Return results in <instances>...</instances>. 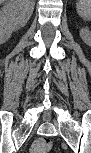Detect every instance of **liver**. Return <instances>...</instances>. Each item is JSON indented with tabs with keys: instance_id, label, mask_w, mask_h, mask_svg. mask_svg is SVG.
<instances>
[{
	"instance_id": "1",
	"label": "liver",
	"mask_w": 91,
	"mask_h": 153,
	"mask_svg": "<svg viewBox=\"0 0 91 153\" xmlns=\"http://www.w3.org/2000/svg\"><path fill=\"white\" fill-rule=\"evenodd\" d=\"M1 2H4V0H1ZM27 3H29V4H31V5H34V1H33V0H32V1L28 0Z\"/></svg>"
}]
</instances>
